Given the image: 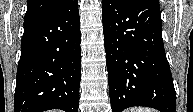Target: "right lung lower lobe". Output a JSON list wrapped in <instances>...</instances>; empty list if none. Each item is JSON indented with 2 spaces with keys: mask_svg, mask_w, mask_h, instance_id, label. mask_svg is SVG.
<instances>
[{
  "mask_svg": "<svg viewBox=\"0 0 193 112\" xmlns=\"http://www.w3.org/2000/svg\"><path fill=\"white\" fill-rule=\"evenodd\" d=\"M78 0L24 21L15 112H78L81 39Z\"/></svg>",
  "mask_w": 193,
  "mask_h": 112,
  "instance_id": "98d812e1",
  "label": "right lung lower lobe"
}]
</instances>
